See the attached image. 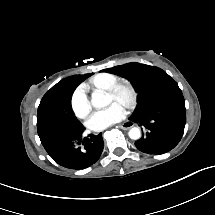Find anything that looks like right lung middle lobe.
Instances as JSON below:
<instances>
[{"mask_svg": "<svg viewBox=\"0 0 215 215\" xmlns=\"http://www.w3.org/2000/svg\"><path fill=\"white\" fill-rule=\"evenodd\" d=\"M90 75H75L65 78L43 96L37 113L38 132L49 128L84 129L81 122L74 116L71 97L75 88Z\"/></svg>", "mask_w": 215, "mask_h": 215, "instance_id": "1", "label": "right lung middle lobe"}]
</instances>
